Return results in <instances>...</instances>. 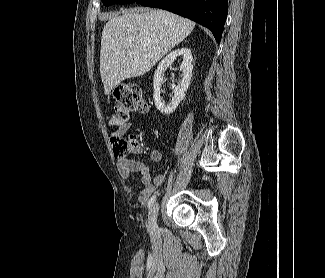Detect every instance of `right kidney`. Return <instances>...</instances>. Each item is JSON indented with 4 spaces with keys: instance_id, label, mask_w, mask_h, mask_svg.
<instances>
[{
    "instance_id": "1",
    "label": "right kidney",
    "mask_w": 325,
    "mask_h": 278,
    "mask_svg": "<svg viewBox=\"0 0 325 278\" xmlns=\"http://www.w3.org/2000/svg\"><path fill=\"white\" fill-rule=\"evenodd\" d=\"M182 57L183 61L180 66V70L182 72V80L178 83V85L172 84V89L174 96L170 103L165 104L160 96V88L164 82V73L168 67H170L176 58ZM193 57L190 49L186 47H182L180 49H176L170 52L162 61L159 63L153 78V86H154V103L156 108L162 113L169 115L174 112L179 103L184 99L185 92L187 91L190 80L192 77V69H193Z\"/></svg>"
}]
</instances>
